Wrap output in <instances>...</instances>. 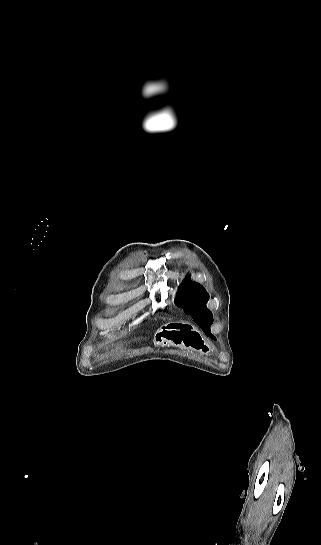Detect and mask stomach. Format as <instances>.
Listing matches in <instances>:
<instances>
[{
	"label": "stomach",
	"instance_id": "obj_1",
	"mask_svg": "<svg viewBox=\"0 0 321 545\" xmlns=\"http://www.w3.org/2000/svg\"><path fill=\"white\" fill-rule=\"evenodd\" d=\"M155 347H184L190 351L206 353L207 343L200 331L191 323H166L158 329L154 337Z\"/></svg>",
	"mask_w": 321,
	"mask_h": 545
}]
</instances>
